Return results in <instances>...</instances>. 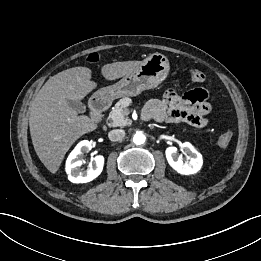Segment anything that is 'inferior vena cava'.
Returning <instances> with one entry per match:
<instances>
[{"label":"inferior vena cava","instance_id":"602c4592","mask_svg":"<svg viewBox=\"0 0 261 261\" xmlns=\"http://www.w3.org/2000/svg\"><path fill=\"white\" fill-rule=\"evenodd\" d=\"M108 137L111 141H122L125 137V131L122 129H113L108 133Z\"/></svg>","mask_w":261,"mask_h":261}]
</instances>
